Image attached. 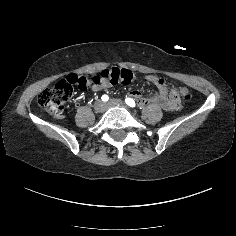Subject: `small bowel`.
Here are the masks:
<instances>
[{"instance_id":"small-bowel-1","label":"small bowel","mask_w":236,"mask_h":236,"mask_svg":"<svg viewBox=\"0 0 236 236\" xmlns=\"http://www.w3.org/2000/svg\"><path fill=\"white\" fill-rule=\"evenodd\" d=\"M148 80H149L150 82L156 84L157 86L161 87V88H163V87L165 86L164 80L161 79V78H159V77H157V76L150 75V76L148 77ZM159 81H160V82H159ZM109 86H110V84H109L108 82H103V83H101L100 85L93 87V89H94L95 91H97V90H101V89H103V88H107V87H109ZM132 95L137 97V96L139 95V92H138V91H133V92H132Z\"/></svg>"}]
</instances>
